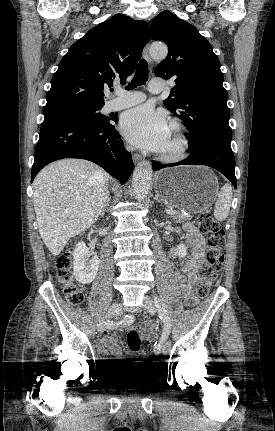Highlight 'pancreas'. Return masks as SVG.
Returning a JSON list of instances; mask_svg holds the SVG:
<instances>
[{
  "label": "pancreas",
  "mask_w": 275,
  "mask_h": 431,
  "mask_svg": "<svg viewBox=\"0 0 275 431\" xmlns=\"http://www.w3.org/2000/svg\"><path fill=\"white\" fill-rule=\"evenodd\" d=\"M171 217H172L176 222H179V223H182V222H184V221H186V220L188 219L185 215H183V214H181V213H176L175 215H171Z\"/></svg>",
  "instance_id": "pancreas-1"
}]
</instances>
